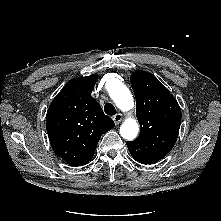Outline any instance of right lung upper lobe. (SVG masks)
<instances>
[{
    "label": "right lung upper lobe",
    "instance_id": "1",
    "mask_svg": "<svg viewBox=\"0 0 221 221\" xmlns=\"http://www.w3.org/2000/svg\"><path fill=\"white\" fill-rule=\"evenodd\" d=\"M97 74L68 82L52 101L46 128L54 152L71 166L87 164L102 134L114 127L91 96Z\"/></svg>",
    "mask_w": 221,
    "mask_h": 221
}]
</instances>
